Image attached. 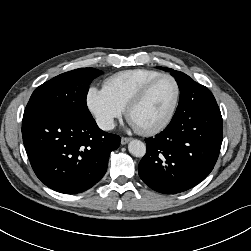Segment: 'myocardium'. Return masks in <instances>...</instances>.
I'll list each match as a JSON object with an SVG mask.
<instances>
[{"mask_svg": "<svg viewBox=\"0 0 251 251\" xmlns=\"http://www.w3.org/2000/svg\"><path fill=\"white\" fill-rule=\"evenodd\" d=\"M164 78H168V79L172 80V82L174 83V86H175V96H174L172 106H171L168 114L165 116V118L162 121H160L159 123H157L153 126H150V127L138 128V130L143 134L158 133L161 130H163L164 128H166L169 125V123L172 121V119L176 113V110H177V107L179 104V100H180V95H181V89H180L179 82L177 81V79L173 75L167 74V73H162V74L152 78L148 82H146L137 91V93L131 98V100L128 102V104L126 106V111H125L126 117L130 121V114H131L132 110L135 107H137L144 100V98L146 97V95L149 92V90L151 89V87L155 83H157L159 80L164 79Z\"/></svg>", "mask_w": 251, "mask_h": 251, "instance_id": "1", "label": "myocardium"}]
</instances>
